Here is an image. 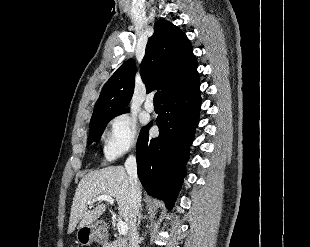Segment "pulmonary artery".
Masks as SVG:
<instances>
[{"label": "pulmonary artery", "instance_id": "1", "mask_svg": "<svg viewBox=\"0 0 310 247\" xmlns=\"http://www.w3.org/2000/svg\"><path fill=\"white\" fill-rule=\"evenodd\" d=\"M144 108L147 112H153L154 111V104H153V97L152 96H148L147 100L144 104Z\"/></svg>", "mask_w": 310, "mask_h": 247}]
</instances>
